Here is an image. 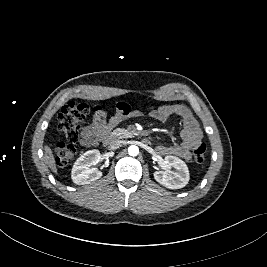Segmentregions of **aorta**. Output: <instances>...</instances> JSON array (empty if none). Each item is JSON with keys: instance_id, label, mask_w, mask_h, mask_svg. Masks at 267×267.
I'll return each instance as SVG.
<instances>
[{"instance_id": "obj_1", "label": "aorta", "mask_w": 267, "mask_h": 267, "mask_svg": "<svg viewBox=\"0 0 267 267\" xmlns=\"http://www.w3.org/2000/svg\"><path fill=\"white\" fill-rule=\"evenodd\" d=\"M128 154L130 156H137L139 154V148L136 145H131L128 147Z\"/></svg>"}]
</instances>
